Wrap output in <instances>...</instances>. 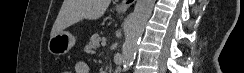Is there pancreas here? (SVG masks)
Segmentation results:
<instances>
[{"instance_id": "cf45deb5", "label": "pancreas", "mask_w": 244, "mask_h": 73, "mask_svg": "<svg viewBox=\"0 0 244 73\" xmlns=\"http://www.w3.org/2000/svg\"><path fill=\"white\" fill-rule=\"evenodd\" d=\"M101 37L98 34L93 35L90 38V42L85 46L84 51L86 53H94L100 46Z\"/></svg>"}]
</instances>
